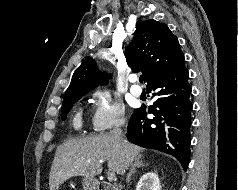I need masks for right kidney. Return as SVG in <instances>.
Listing matches in <instances>:
<instances>
[{"label":"right kidney","instance_id":"right-kidney-1","mask_svg":"<svg viewBox=\"0 0 238 190\" xmlns=\"http://www.w3.org/2000/svg\"><path fill=\"white\" fill-rule=\"evenodd\" d=\"M136 190H161L160 180L156 173L149 172L144 174L137 186Z\"/></svg>","mask_w":238,"mask_h":190}]
</instances>
